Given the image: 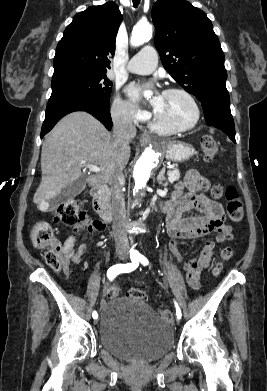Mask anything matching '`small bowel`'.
<instances>
[{
	"mask_svg": "<svg viewBox=\"0 0 267 391\" xmlns=\"http://www.w3.org/2000/svg\"><path fill=\"white\" fill-rule=\"evenodd\" d=\"M183 188L188 192L184 193ZM210 183L199 172L189 171L174 194L173 200L166 208L167 233L172 238L170 251L177 262L182 264L189 286L197 290L200 286L201 273L209 266L213 256L215 243H223L233 238L232 228L225 223V212L222 204L210 199L206 192ZM196 211L194 217L184 218L186 211ZM104 224L98 220H85L73 228L60 246L64 258L63 271L69 275L70 265L78 264L86 250L85 243H77V236L82 231L91 234L102 231ZM215 232V240L206 241L199 255L187 262L183 261L178 245L181 240L196 239Z\"/></svg>",
	"mask_w": 267,
	"mask_h": 391,
	"instance_id": "obj_1",
	"label": "small bowel"
}]
</instances>
